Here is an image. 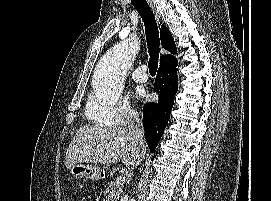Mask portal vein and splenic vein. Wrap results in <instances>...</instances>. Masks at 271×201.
Segmentation results:
<instances>
[{
    "mask_svg": "<svg viewBox=\"0 0 271 201\" xmlns=\"http://www.w3.org/2000/svg\"><path fill=\"white\" fill-rule=\"evenodd\" d=\"M125 178L126 177L124 175L118 176L117 179H116V184H120V185L124 184Z\"/></svg>",
    "mask_w": 271,
    "mask_h": 201,
    "instance_id": "obj_1",
    "label": "portal vein and splenic vein"
}]
</instances>
